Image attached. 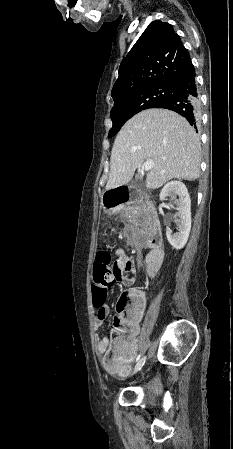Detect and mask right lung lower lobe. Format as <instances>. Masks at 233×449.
Instances as JSON below:
<instances>
[{
  "instance_id": "obj_1",
  "label": "right lung lower lobe",
  "mask_w": 233,
  "mask_h": 449,
  "mask_svg": "<svg viewBox=\"0 0 233 449\" xmlns=\"http://www.w3.org/2000/svg\"><path fill=\"white\" fill-rule=\"evenodd\" d=\"M171 95L156 108H165L184 116L195 128L199 123L200 99L195 82V73L177 80L171 85Z\"/></svg>"
}]
</instances>
